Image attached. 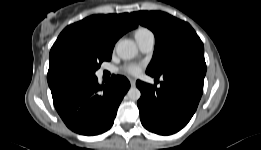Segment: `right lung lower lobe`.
<instances>
[{
  "label": "right lung lower lobe",
  "mask_w": 261,
  "mask_h": 150,
  "mask_svg": "<svg viewBox=\"0 0 261 150\" xmlns=\"http://www.w3.org/2000/svg\"><path fill=\"white\" fill-rule=\"evenodd\" d=\"M129 88L123 76H112L106 85L98 84L92 76L62 80L50 89L54 106L68 128L82 135H97L113 125Z\"/></svg>",
  "instance_id": "right-lung-lower-lobe-1"
}]
</instances>
